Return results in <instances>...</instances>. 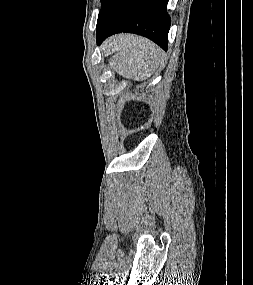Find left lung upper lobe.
Wrapping results in <instances>:
<instances>
[{
	"label": "left lung upper lobe",
	"mask_w": 253,
	"mask_h": 285,
	"mask_svg": "<svg viewBox=\"0 0 253 285\" xmlns=\"http://www.w3.org/2000/svg\"><path fill=\"white\" fill-rule=\"evenodd\" d=\"M105 2H106V0H101L102 7H103V5H104Z\"/></svg>",
	"instance_id": "5c2ea615"
}]
</instances>
